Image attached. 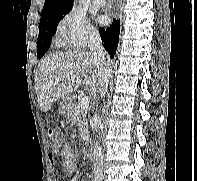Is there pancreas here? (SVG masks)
Returning a JSON list of instances; mask_svg holds the SVG:
<instances>
[{
	"label": "pancreas",
	"mask_w": 197,
	"mask_h": 181,
	"mask_svg": "<svg viewBox=\"0 0 197 181\" xmlns=\"http://www.w3.org/2000/svg\"><path fill=\"white\" fill-rule=\"evenodd\" d=\"M69 120L76 123L83 141L89 139V129L87 120V110L80 107V102L74 103L69 112Z\"/></svg>",
	"instance_id": "1"
}]
</instances>
